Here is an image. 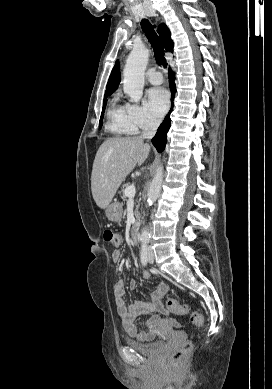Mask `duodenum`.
I'll return each mask as SVG.
<instances>
[{
  "mask_svg": "<svg viewBox=\"0 0 272 389\" xmlns=\"http://www.w3.org/2000/svg\"><path fill=\"white\" fill-rule=\"evenodd\" d=\"M139 231H140V225L138 222H136L130 231V237L133 243L137 244L139 242Z\"/></svg>",
  "mask_w": 272,
  "mask_h": 389,
  "instance_id": "obj_1",
  "label": "duodenum"
}]
</instances>
